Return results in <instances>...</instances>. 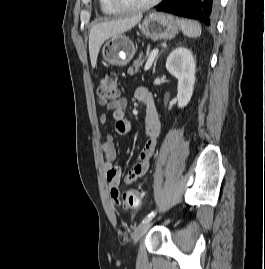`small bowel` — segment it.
Returning a JSON list of instances; mask_svg holds the SVG:
<instances>
[{"mask_svg":"<svg viewBox=\"0 0 265 269\" xmlns=\"http://www.w3.org/2000/svg\"><path fill=\"white\" fill-rule=\"evenodd\" d=\"M134 96L138 102L144 104L146 107L145 128L149 139L137 155L136 163L125 177V183L127 184H131L136 181L149 169L150 161L156 149L158 137L161 131V125L153 102L152 93L146 87H139L135 91ZM126 107L127 99L123 97L106 105V108L112 111V116L116 123V132L119 135H126L131 131V122L125 117ZM108 120L109 119L106 114H102L99 117V123L101 126H106L108 124ZM102 151L106 159L104 163V171L106 180L110 187L111 196L115 202L119 203L117 193L121 182V170L119 167L114 165V161L117 158V150L111 135L106 136V140L102 144Z\"/></svg>","mask_w":265,"mask_h":269,"instance_id":"1","label":"small bowel"}]
</instances>
